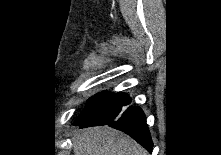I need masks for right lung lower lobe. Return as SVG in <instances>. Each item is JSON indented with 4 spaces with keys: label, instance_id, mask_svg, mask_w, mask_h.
<instances>
[{
    "label": "right lung lower lobe",
    "instance_id": "98d812e1",
    "mask_svg": "<svg viewBox=\"0 0 221 155\" xmlns=\"http://www.w3.org/2000/svg\"><path fill=\"white\" fill-rule=\"evenodd\" d=\"M109 125L131 136L149 152L153 143L143 111L130 106V98L125 93H104L97 108L80 124V128Z\"/></svg>",
    "mask_w": 221,
    "mask_h": 155
}]
</instances>
